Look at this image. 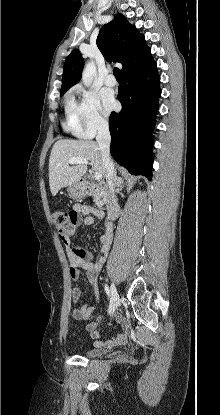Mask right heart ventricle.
Masks as SVG:
<instances>
[{
    "label": "right heart ventricle",
    "instance_id": "right-heart-ventricle-1",
    "mask_svg": "<svg viewBox=\"0 0 220 415\" xmlns=\"http://www.w3.org/2000/svg\"><path fill=\"white\" fill-rule=\"evenodd\" d=\"M73 103L72 97H69L66 101V121L64 122V128L68 131H75L76 132V124L73 117V113L71 110V106Z\"/></svg>",
    "mask_w": 220,
    "mask_h": 415
}]
</instances>
